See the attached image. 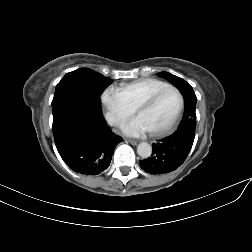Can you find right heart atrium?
I'll use <instances>...</instances> for the list:
<instances>
[{
    "label": "right heart atrium",
    "mask_w": 252,
    "mask_h": 252,
    "mask_svg": "<svg viewBox=\"0 0 252 252\" xmlns=\"http://www.w3.org/2000/svg\"><path fill=\"white\" fill-rule=\"evenodd\" d=\"M101 101L106 109V118L113 126H120L134 113V108L118 89H106Z\"/></svg>",
    "instance_id": "obj_1"
}]
</instances>
